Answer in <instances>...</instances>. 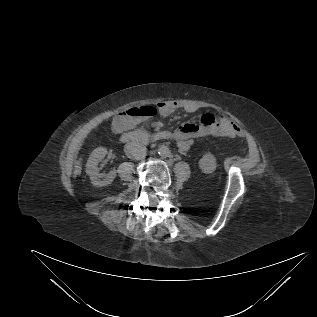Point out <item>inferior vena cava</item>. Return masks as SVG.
Returning <instances> with one entry per match:
<instances>
[{
  "label": "inferior vena cava",
  "instance_id": "inferior-vena-cava-1",
  "mask_svg": "<svg viewBox=\"0 0 317 317\" xmlns=\"http://www.w3.org/2000/svg\"><path fill=\"white\" fill-rule=\"evenodd\" d=\"M124 152L132 160H141L145 158L147 149L143 144L131 141L125 144Z\"/></svg>",
  "mask_w": 317,
  "mask_h": 317
}]
</instances>
